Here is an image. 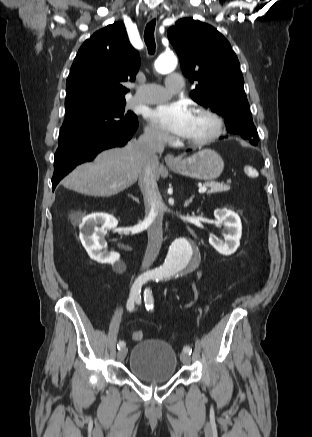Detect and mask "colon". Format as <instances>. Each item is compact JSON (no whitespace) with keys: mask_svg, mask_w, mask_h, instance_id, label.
Listing matches in <instances>:
<instances>
[{"mask_svg":"<svg viewBox=\"0 0 312 437\" xmlns=\"http://www.w3.org/2000/svg\"><path fill=\"white\" fill-rule=\"evenodd\" d=\"M143 336H144V334L141 330H134L132 332V338L135 341H141L143 339Z\"/></svg>","mask_w":312,"mask_h":437,"instance_id":"obj_1","label":"colon"}]
</instances>
